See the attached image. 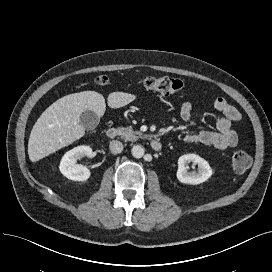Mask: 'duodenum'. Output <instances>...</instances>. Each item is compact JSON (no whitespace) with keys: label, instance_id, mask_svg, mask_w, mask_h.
Instances as JSON below:
<instances>
[{"label":"duodenum","instance_id":"1","mask_svg":"<svg viewBox=\"0 0 272 272\" xmlns=\"http://www.w3.org/2000/svg\"><path fill=\"white\" fill-rule=\"evenodd\" d=\"M118 136V131L116 128H111L107 131V137L111 140ZM150 146L154 151H160L162 149V144L157 140H151Z\"/></svg>","mask_w":272,"mask_h":272}]
</instances>
